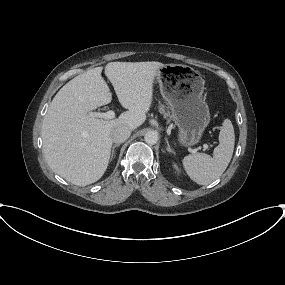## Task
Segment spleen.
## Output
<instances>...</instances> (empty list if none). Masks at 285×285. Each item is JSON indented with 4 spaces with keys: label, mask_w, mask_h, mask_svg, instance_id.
I'll return each mask as SVG.
<instances>
[{
    "label": "spleen",
    "mask_w": 285,
    "mask_h": 285,
    "mask_svg": "<svg viewBox=\"0 0 285 285\" xmlns=\"http://www.w3.org/2000/svg\"><path fill=\"white\" fill-rule=\"evenodd\" d=\"M235 145L232 122L225 119L219 133V145L213 157L205 153H195L184 157L183 166L188 176L197 184L208 185L219 178L231 161Z\"/></svg>",
    "instance_id": "1"
}]
</instances>
